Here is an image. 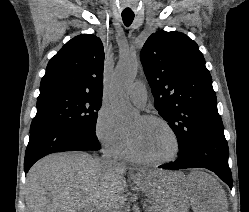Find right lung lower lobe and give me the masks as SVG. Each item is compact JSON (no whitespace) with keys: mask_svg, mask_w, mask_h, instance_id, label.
Returning <instances> with one entry per match:
<instances>
[{"mask_svg":"<svg viewBox=\"0 0 249 212\" xmlns=\"http://www.w3.org/2000/svg\"><path fill=\"white\" fill-rule=\"evenodd\" d=\"M100 149L96 135H88L70 127H47L30 133L25 152L24 171L40 158L55 152L96 151Z\"/></svg>","mask_w":249,"mask_h":212,"instance_id":"1","label":"right lung lower lobe"}]
</instances>
